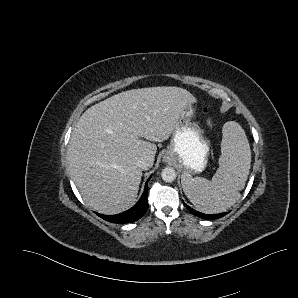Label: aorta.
<instances>
[{"label": "aorta", "instance_id": "762f6f07", "mask_svg": "<svg viewBox=\"0 0 298 298\" xmlns=\"http://www.w3.org/2000/svg\"><path fill=\"white\" fill-rule=\"evenodd\" d=\"M161 178L164 182L171 183L177 178V172L173 167H165L161 171Z\"/></svg>", "mask_w": 298, "mask_h": 298}]
</instances>
